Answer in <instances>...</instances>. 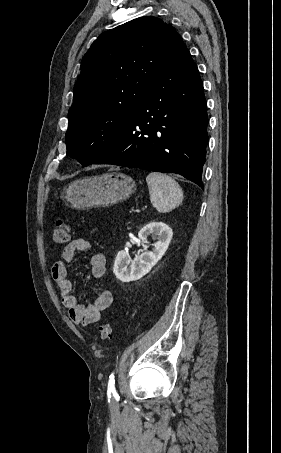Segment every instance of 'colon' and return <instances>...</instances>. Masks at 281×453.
I'll return each mask as SVG.
<instances>
[{
	"label": "colon",
	"instance_id": "colon-1",
	"mask_svg": "<svg viewBox=\"0 0 281 453\" xmlns=\"http://www.w3.org/2000/svg\"><path fill=\"white\" fill-rule=\"evenodd\" d=\"M52 236L53 241L57 246H64L69 237L68 225L64 221L58 220L53 226ZM112 333V324L110 322H104L99 327L98 338L100 341H108L111 339Z\"/></svg>",
	"mask_w": 281,
	"mask_h": 453
}]
</instances>
